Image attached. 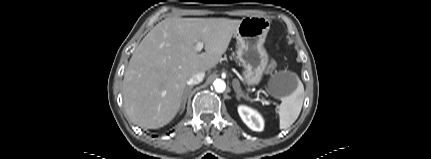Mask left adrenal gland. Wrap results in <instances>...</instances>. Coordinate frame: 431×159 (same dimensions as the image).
<instances>
[{"label": "left adrenal gland", "mask_w": 431, "mask_h": 159, "mask_svg": "<svg viewBox=\"0 0 431 159\" xmlns=\"http://www.w3.org/2000/svg\"><path fill=\"white\" fill-rule=\"evenodd\" d=\"M233 82L238 83V81L236 79H234ZM234 91L236 92L237 100H240L241 97L246 99V100H249V97L245 96L244 93L242 92L239 83L237 84V86H234Z\"/></svg>", "instance_id": "a2214340"}]
</instances>
